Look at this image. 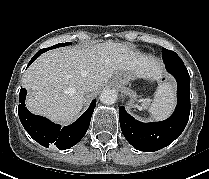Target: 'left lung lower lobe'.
Wrapping results in <instances>:
<instances>
[{"label":"left lung lower lobe","mask_w":209,"mask_h":179,"mask_svg":"<svg viewBox=\"0 0 209 179\" xmlns=\"http://www.w3.org/2000/svg\"><path fill=\"white\" fill-rule=\"evenodd\" d=\"M177 81L178 103L174 113L161 122L142 123L119 109L120 126L124 137L137 150L153 152L171 144L183 132L190 114V76L183 61L165 64Z\"/></svg>","instance_id":"obj_1"}]
</instances>
